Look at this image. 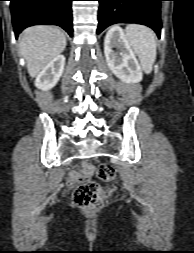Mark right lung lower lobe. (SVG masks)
Segmentation results:
<instances>
[{"mask_svg":"<svg viewBox=\"0 0 194 253\" xmlns=\"http://www.w3.org/2000/svg\"><path fill=\"white\" fill-rule=\"evenodd\" d=\"M16 38L28 26L52 24L72 36V0H10Z\"/></svg>","mask_w":194,"mask_h":253,"instance_id":"obj_1","label":"right lung lower lobe"}]
</instances>
